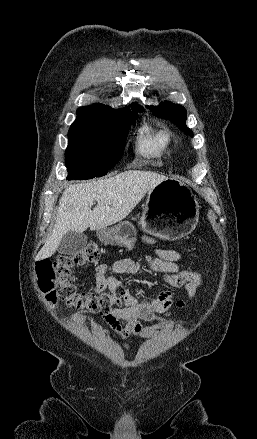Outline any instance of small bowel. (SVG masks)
Wrapping results in <instances>:
<instances>
[{
    "label": "small bowel",
    "mask_w": 257,
    "mask_h": 439,
    "mask_svg": "<svg viewBox=\"0 0 257 439\" xmlns=\"http://www.w3.org/2000/svg\"><path fill=\"white\" fill-rule=\"evenodd\" d=\"M144 241L148 244H155L156 239L145 236ZM157 258L148 261L145 265L137 264L130 260L116 262L111 268L106 264H100L96 267L93 274L95 280V290L102 291L105 288L115 290L121 286L119 276L122 274L136 275L141 272H160L167 274H177L180 269L177 261L181 259V254L166 246H160L156 249ZM196 286H185L189 298L194 297ZM173 306L183 307L184 301H175L170 291H162L159 294L148 298L138 299L135 296L127 294L122 307L111 308L102 317L104 321L112 328L115 334L122 340L129 337H162L164 333L156 330L154 327H145L142 321H159L165 328L172 327L167 318H160L157 315L165 313L168 317ZM82 320V316H75L71 323L75 324ZM125 325L122 326L121 322Z\"/></svg>",
    "instance_id": "obj_1"
}]
</instances>
